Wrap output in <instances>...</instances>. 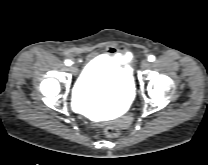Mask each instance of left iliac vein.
Returning <instances> with one entry per match:
<instances>
[{
    "label": "left iliac vein",
    "mask_w": 208,
    "mask_h": 165,
    "mask_svg": "<svg viewBox=\"0 0 208 165\" xmlns=\"http://www.w3.org/2000/svg\"><path fill=\"white\" fill-rule=\"evenodd\" d=\"M150 66V63L147 59H144L142 62H141V68L142 69H147L148 67Z\"/></svg>",
    "instance_id": "4c4485c4"
}]
</instances>
